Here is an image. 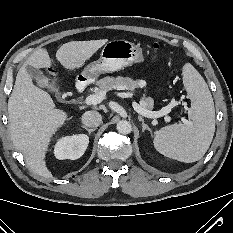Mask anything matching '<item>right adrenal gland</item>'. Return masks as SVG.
<instances>
[{
  "instance_id": "obj_1",
  "label": "right adrenal gland",
  "mask_w": 233,
  "mask_h": 233,
  "mask_svg": "<svg viewBox=\"0 0 233 233\" xmlns=\"http://www.w3.org/2000/svg\"><path fill=\"white\" fill-rule=\"evenodd\" d=\"M82 128H84L86 131H88V133H89V135L93 132V131H95L96 129L95 128H88L87 126H85V125H82Z\"/></svg>"
}]
</instances>
